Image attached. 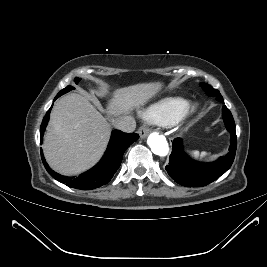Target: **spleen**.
<instances>
[{"mask_svg":"<svg viewBox=\"0 0 267 267\" xmlns=\"http://www.w3.org/2000/svg\"><path fill=\"white\" fill-rule=\"evenodd\" d=\"M190 154L196 159H203L209 155V153H207L205 151L199 152L197 150L190 151Z\"/></svg>","mask_w":267,"mask_h":267,"instance_id":"3e777b00","label":"spleen"}]
</instances>
